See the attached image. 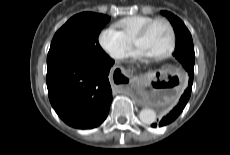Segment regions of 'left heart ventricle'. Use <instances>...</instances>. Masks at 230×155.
<instances>
[{"mask_svg": "<svg viewBox=\"0 0 230 155\" xmlns=\"http://www.w3.org/2000/svg\"><path fill=\"white\" fill-rule=\"evenodd\" d=\"M170 43V30L164 22L155 23L148 34L136 42V47L144 49L152 57L164 52Z\"/></svg>", "mask_w": 230, "mask_h": 155, "instance_id": "1", "label": "left heart ventricle"}]
</instances>
